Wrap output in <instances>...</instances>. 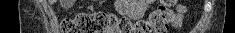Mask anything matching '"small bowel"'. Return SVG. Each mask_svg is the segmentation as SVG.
<instances>
[{"label":"small bowel","mask_w":235,"mask_h":33,"mask_svg":"<svg viewBox=\"0 0 235 33\" xmlns=\"http://www.w3.org/2000/svg\"><path fill=\"white\" fill-rule=\"evenodd\" d=\"M149 3H150L149 0L135 1L132 3V5L130 3L125 2L124 4H120L119 8L123 12L131 11V9L135 12H143L146 10ZM185 13H186V8L183 5L179 4L176 6V14L174 15V18L171 21L172 26L176 30H179L181 28ZM108 33H113V32H108Z\"/></svg>","instance_id":"small-bowel-1"}]
</instances>
